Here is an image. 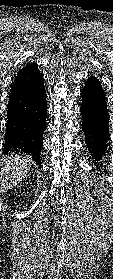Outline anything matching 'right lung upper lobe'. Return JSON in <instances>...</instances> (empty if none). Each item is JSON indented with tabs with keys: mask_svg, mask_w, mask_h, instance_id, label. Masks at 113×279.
I'll use <instances>...</instances> for the list:
<instances>
[{
	"mask_svg": "<svg viewBox=\"0 0 113 279\" xmlns=\"http://www.w3.org/2000/svg\"><path fill=\"white\" fill-rule=\"evenodd\" d=\"M35 65V63H29L27 64L26 66H24L19 72L18 74L15 76V80L19 79L20 77H22L25 73L28 72V70L33 66Z\"/></svg>",
	"mask_w": 113,
	"mask_h": 279,
	"instance_id": "obj_1",
	"label": "right lung upper lobe"
}]
</instances>
